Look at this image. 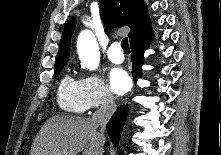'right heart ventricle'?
<instances>
[{
  "instance_id": "e07e8e85",
  "label": "right heart ventricle",
  "mask_w": 221,
  "mask_h": 155,
  "mask_svg": "<svg viewBox=\"0 0 221 155\" xmlns=\"http://www.w3.org/2000/svg\"><path fill=\"white\" fill-rule=\"evenodd\" d=\"M59 107L69 113L81 114L87 110L82 95L81 80L66 74L60 81L57 90Z\"/></svg>"
}]
</instances>
